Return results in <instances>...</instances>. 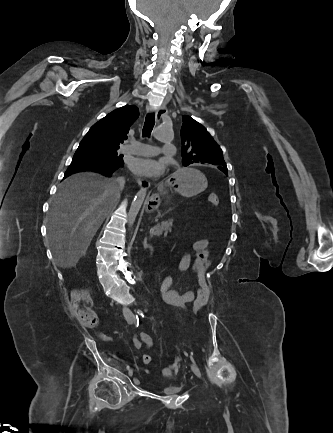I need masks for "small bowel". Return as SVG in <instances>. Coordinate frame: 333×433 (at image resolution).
Returning a JSON list of instances; mask_svg holds the SVG:
<instances>
[{"label":"small bowel","mask_w":333,"mask_h":433,"mask_svg":"<svg viewBox=\"0 0 333 433\" xmlns=\"http://www.w3.org/2000/svg\"><path fill=\"white\" fill-rule=\"evenodd\" d=\"M210 243L207 239L198 240L194 243L195 259L193 266L198 276V286L194 289H189L180 293L175 289V277L172 276L173 284L171 287L172 293L177 294L174 299L185 300L187 303H193L195 312L201 311L210 298L211 289L210 285L205 277L206 271L211 266L210 258ZM191 265V257L188 253H184L180 259L178 265V272L182 273L188 270ZM165 280V278H164ZM171 305V304H169ZM97 337L104 342H112L113 339L101 331H96ZM133 346L135 349H140L144 346L146 349H150L153 346V338L148 333H138L133 339Z\"/></svg>","instance_id":"small-bowel-1"}]
</instances>
